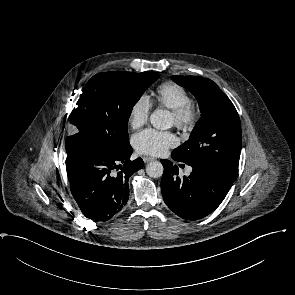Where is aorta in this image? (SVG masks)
Instances as JSON below:
<instances>
[{"mask_svg":"<svg viewBox=\"0 0 295 295\" xmlns=\"http://www.w3.org/2000/svg\"><path fill=\"white\" fill-rule=\"evenodd\" d=\"M150 122L156 129H169L172 125L170 112L168 110L157 109L150 115ZM164 168L159 161H153L146 166V173L152 178H160Z\"/></svg>","mask_w":295,"mask_h":295,"instance_id":"obj_1","label":"aorta"}]
</instances>
